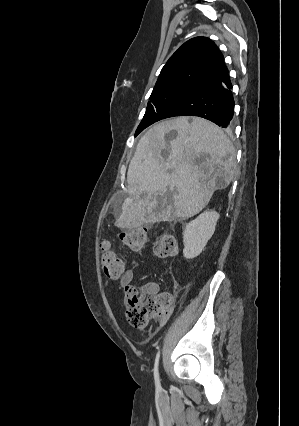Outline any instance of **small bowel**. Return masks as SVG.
Here are the masks:
<instances>
[{
	"label": "small bowel",
	"instance_id": "c3829d8e",
	"mask_svg": "<svg viewBox=\"0 0 299 426\" xmlns=\"http://www.w3.org/2000/svg\"><path fill=\"white\" fill-rule=\"evenodd\" d=\"M132 268H138V263L135 260H132L130 262ZM134 277V272L132 269H128L124 272V274L120 277L119 279V285L121 288H126L131 281L133 280ZM150 287L152 288V290L154 292L157 291V286L155 284L150 285ZM166 321V315H163L162 317H160L159 319V327H162L164 325Z\"/></svg>",
	"mask_w": 299,
	"mask_h": 426
}]
</instances>
